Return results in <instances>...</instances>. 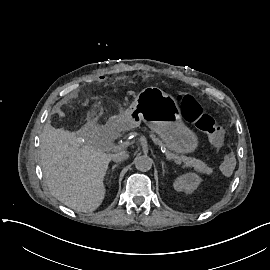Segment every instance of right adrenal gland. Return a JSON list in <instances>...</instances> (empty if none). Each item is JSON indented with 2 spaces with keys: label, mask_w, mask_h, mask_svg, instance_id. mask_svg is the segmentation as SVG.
Masks as SVG:
<instances>
[{
  "label": "right adrenal gland",
  "mask_w": 270,
  "mask_h": 270,
  "mask_svg": "<svg viewBox=\"0 0 270 270\" xmlns=\"http://www.w3.org/2000/svg\"><path fill=\"white\" fill-rule=\"evenodd\" d=\"M118 166V164H115L112 166V171H114V169Z\"/></svg>",
  "instance_id": "2a0ac1e0"
}]
</instances>
